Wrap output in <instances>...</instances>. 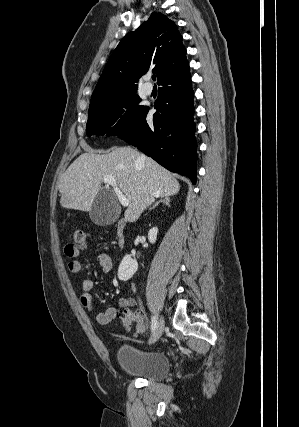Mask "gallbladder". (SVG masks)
I'll list each match as a JSON object with an SVG mask.
<instances>
[{
    "mask_svg": "<svg viewBox=\"0 0 299 427\" xmlns=\"http://www.w3.org/2000/svg\"><path fill=\"white\" fill-rule=\"evenodd\" d=\"M89 216L91 221L99 226L114 223L120 216L115 194L107 189H101L94 199Z\"/></svg>",
    "mask_w": 299,
    "mask_h": 427,
    "instance_id": "obj_1",
    "label": "gallbladder"
}]
</instances>
